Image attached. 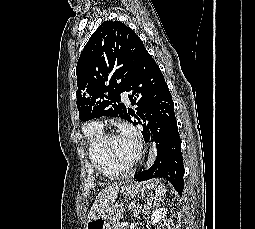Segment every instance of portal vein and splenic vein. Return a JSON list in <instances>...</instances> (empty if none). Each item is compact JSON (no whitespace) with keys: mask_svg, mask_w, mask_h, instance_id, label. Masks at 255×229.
<instances>
[{"mask_svg":"<svg viewBox=\"0 0 255 229\" xmlns=\"http://www.w3.org/2000/svg\"><path fill=\"white\" fill-rule=\"evenodd\" d=\"M121 226H128L127 222L121 223Z\"/></svg>","mask_w":255,"mask_h":229,"instance_id":"portal-vein-and-splenic-vein-1","label":"portal vein and splenic vein"}]
</instances>
